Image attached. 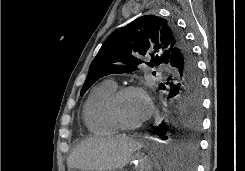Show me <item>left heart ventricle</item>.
I'll return each mask as SVG.
<instances>
[{"instance_id":"1","label":"left heart ventricle","mask_w":245,"mask_h":171,"mask_svg":"<svg viewBox=\"0 0 245 171\" xmlns=\"http://www.w3.org/2000/svg\"><path fill=\"white\" fill-rule=\"evenodd\" d=\"M146 100L144 96L138 93H128L124 95L119 104V111L123 120L130 124L142 122Z\"/></svg>"}]
</instances>
